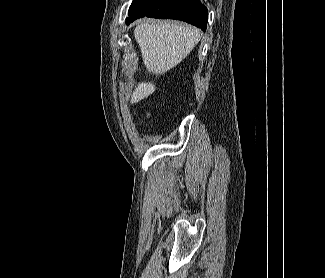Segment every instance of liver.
<instances>
[{
	"instance_id": "liver-1",
	"label": "liver",
	"mask_w": 325,
	"mask_h": 278,
	"mask_svg": "<svg viewBox=\"0 0 325 278\" xmlns=\"http://www.w3.org/2000/svg\"><path fill=\"white\" fill-rule=\"evenodd\" d=\"M134 36L144 65L156 76L178 65L201 39L200 30L168 21H144L135 28ZM155 89L151 82L139 83L131 103L147 98Z\"/></svg>"
}]
</instances>
